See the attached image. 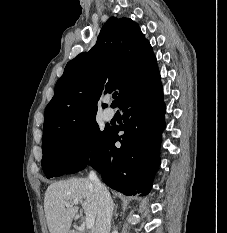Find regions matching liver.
<instances>
[{
    "label": "liver",
    "mask_w": 227,
    "mask_h": 233,
    "mask_svg": "<svg viewBox=\"0 0 227 233\" xmlns=\"http://www.w3.org/2000/svg\"><path fill=\"white\" fill-rule=\"evenodd\" d=\"M78 201L86 214L97 218L98 200L92 182L88 178H72L51 183L44 197L45 217L50 233H70L78 207L67 202Z\"/></svg>",
    "instance_id": "1"
}]
</instances>
